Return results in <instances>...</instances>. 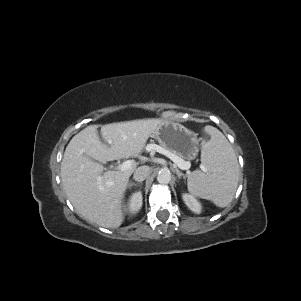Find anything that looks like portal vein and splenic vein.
I'll list each match as a JSON object with an SVG mask.
<instances>
[{"mask_svg":"<svg viewBox=\"0 0 301 301\" xmlns=\"http://www.w3.org/2000/svg\"><path fill=\"white\" fill-rule=\"evenodd\" d=\"M148 148H149V150H155L159 153L165 154L182 170H188L191 166L190 162L184 161L180 157L169 153L168 151L164 150L159 145L151 144L148 146ZM132 166H133V161L127 160V161H124L123 163L119 164L118 169L121 171H125V170L130 169Z\"/></svg>","mask_w":301,"mask_h":301,"instance_id":"portal-vein-and-splenic-vein-1","label":"portal vein and splenic vein"}]
</instances>
